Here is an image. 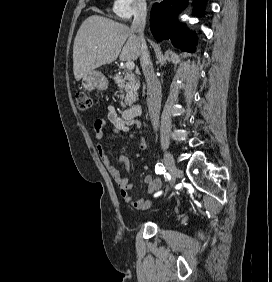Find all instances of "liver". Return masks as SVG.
Instances as JSON below:
<instances>
[{"instance_id": "6515ba94", "label": "liver", "mask_w": 272, "mask_h": 282, "mask_svg": "<svg viewBox=\"0 0 272 282\" xmlns=\"http://www.w3.org/2000/svg\"><path fill=\"white\" fill-rule=\"evenodd\" d=\"M141 43L127 25L99 15L88 17L80 26L73 45V72L79 81L84 75L112 63L137 60Z\"/></svg>"}]
</instances>
